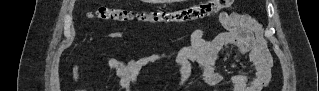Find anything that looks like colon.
<instances>
[{
  "label": "colon",
  "mask_w": 319,
  "mask_h": 91,
  "mask_svg": "<svg viewBox=\"0 0 319 91\" xmlns=\"http://www.w3.org/2000/svg\"><path fill=\"white\" fill-rule=\"evenodd\" d=\"M230 0H211L192 5L185 8L149 11V12H134L120 7L100 6L91 16L102 21H140L147 23H185L210 16L221 9L231 5ZM262 64L269 69L272 64L271 57L267 54L263 57Z\"/></svg>",
  "instance_id": "1"
}]
</instances>
